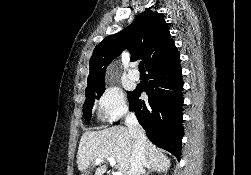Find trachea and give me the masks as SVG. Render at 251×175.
<instances>
[{
	"label": "trachea",
	"mask_w": 251,
	"mask_h": 175,
	"mask_svg": "<svg viewBox=\"0 0 251 175\" xmlns=\"http://www.w3.org/2000/svg\"><path fill=\"white\" fill-rule=\"evenodd\" d=\"M139 70H140V71H145L144 62H140V63H139Z\"/></svg>",
	"instance_id": "obj_1"
}]
</instances>
